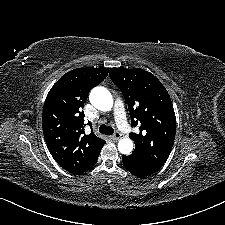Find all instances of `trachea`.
Segmentation results:
<instances>
[{
	"label": "trachea",
	"instance_id": "1",
	"mask_svg": "<svg viewBox=\"0 0 225 225\" xmlns=\"http://www.w3.org/2000/svg\"><path fill=\"white\" fill-rule=\"evenodd\" d=\"M99 132L101 134L112 135L114 133V129L103 124L99 127Z\"/></svg>",
	"mask_w": 225,
	"mask_h": 225
}]
</instances>
